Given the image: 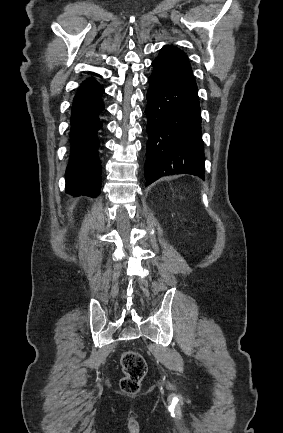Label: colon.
Instances as JSON below:
<instances>
[{
	"label": "colon",
	"mask_w": 283,
	"mask_h": 433,
	"mask_svg": "<svg viewBox=\"0 0 283 433\" xmlns=\"http://www.w3.org/2000/svg\"><path fill=\"white\" fill-rule=\"evenodd\" d=\"M121 367L124 377L121 379V390L126 394H136L147 372V364L139 352L128 350L121 356Z\"/></svg>",
	"instance_id": "1"
}]
</instances>
